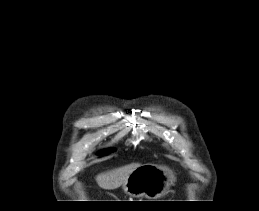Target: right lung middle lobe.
Segmentation results:
<instances>
[{"mask_svg": "<svg viewBox=\"0 0 259 211\" xmlns=\"http://www.w3.org/2000/svg\"><path fill=\"white\" fill-rule=\"evenodd\" d=\"M115 149L114 148H109V149H105L99 152V155H105V154H109L111 152H113Z\"/></svg>", "mask_w": 259, "mask_h": 211, "instance_id": "right-lung-middle-lobe-1", "label": "right lung middle lobe"}]
</instances>
